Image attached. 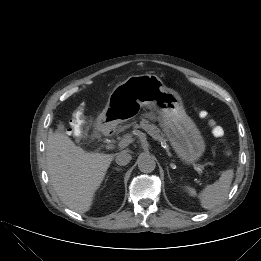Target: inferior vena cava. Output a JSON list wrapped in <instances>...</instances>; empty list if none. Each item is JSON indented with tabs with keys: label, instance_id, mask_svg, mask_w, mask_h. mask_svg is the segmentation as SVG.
<instances>
[{
	"label": "inferior vena cava",
	"instance_id": "602c4592",
	"mask_svg": "<svg viewBox=\"0 0 261 261\" xmlns=\"http://www.w3.org/2000/svg\"><path fill=\"white\" fill-rule=\"evenodd\" d=\"M132 157L127 151H122L116 155L115 161L120 166H125L131 161Z\"/></svg>",
	"mask_w": 261,
	"mask_h": 261
}]
</instances>
